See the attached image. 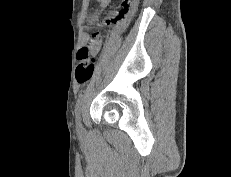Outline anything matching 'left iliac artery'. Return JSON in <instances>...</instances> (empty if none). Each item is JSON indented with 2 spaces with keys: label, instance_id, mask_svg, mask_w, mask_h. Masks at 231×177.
<instances>
[{
  "label": "left iliac artery",
  "instance_id": "left-iliac-artery-1",
  "mask_svg": "<svg viewBox=\"0 0 231 177\" xmlns=\"http://www.w3.org/2000/svg\"><path fill=\"white\" fill-rule=\"evenodd\" d=\"M83 102H84V94H80L75 105V115L79 119H80Z\"/></svg>",
  "mask_w": 231,
  "mask_h": 177
}]
</instances>
